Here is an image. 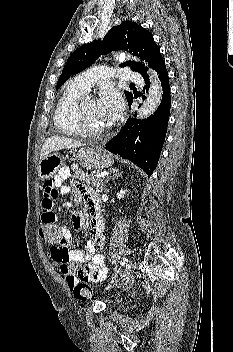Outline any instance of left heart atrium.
Returning a JSON list of instances; mask_svg holds the SVG:
<instances>
[{
	"mask_svg": "<svg viewBox=\"0 0 233 352\" xmlns=\"http://www.w3.org/2000/svg\"><path fill=\"white\" fill-rule=\"evenodd\" d=\"M97 106L107 125L112 124L122 113L123 100L112 88L105 89L97 101Z\"/></svg>",
	"mask_w": 233,
	"mask_h": 352,
	"instance_id": "obj_1",
	"label": "left heart atrium"
}]
</instances>
